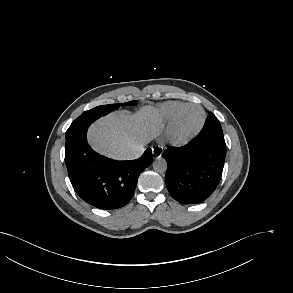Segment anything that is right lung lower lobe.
<instances>
[{
	"label": "right lung lower lobe",
	"instance_id": "1",
	"mask_svg": "<svg viewBox=\"0 0 293 293\" xmlns=\"http://www.w3.org/2000/svg\"><path fill=\"white\" fill-rule=\"evenodd\" d=\"M90 124L66 132L65 162L71 184L87 203L100 209L121 208L132 198L140 173L153 160L152 150L131 161L103 157L88 145Z\"/></svg>",
	"mask_w": 293,
	"mask_h": 293
}]
</instances>
